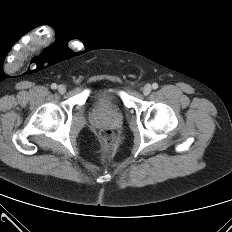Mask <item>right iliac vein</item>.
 <instances>
[{"label": "right iliac vein", "mask_w": 232, "mask_h": 232, "mask_svg": "<svg viewBox=\"0 0 232 232\" xmlns=\"http://www.w3.org/2000/svg\"><path fill=\"white\" fill-rule=\"evenodd\" d=\"M57 89L60 94H64L66 92V87L64 85H59Z\"/></svg>", "instance_id": "63e3f726"}]
</instances>
